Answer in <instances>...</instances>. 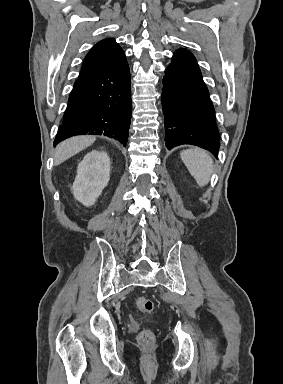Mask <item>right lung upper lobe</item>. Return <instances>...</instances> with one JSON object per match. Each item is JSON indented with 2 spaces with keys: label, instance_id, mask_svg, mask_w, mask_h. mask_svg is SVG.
<instances>
[{
  "label": "right lung upper lobe",
  "instance_id": "obj_1",
  "mask_svg": "<svg viewBox=\"0 0 283 384\" xmlns=\"http://www.w3.org/2000/svg\"><path fill=\"white\" fill-rule=\"evenodd\" d=\"M126 62L124 51L113 38L98 42L84 59L79 77L117 68Z\"/></svg>",
  "mask_w": 283,
  "mask_h": 384
}]
</instances>
